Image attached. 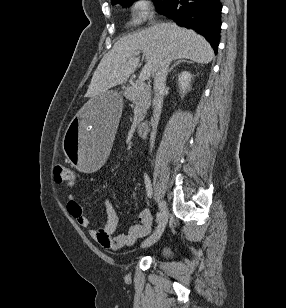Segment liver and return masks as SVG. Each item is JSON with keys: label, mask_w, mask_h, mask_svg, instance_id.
Here are the masks:
<instances>
[{"label": "liver", "mask_w": 286, "mask_h": 308, "mask_svg": "<svg viewBox=\"0 0 286 308\" xmlns=\"http://www.w3.org/2000/svg\"><path fill=\"white\" fill-rule=\"evenodd\" d=\"M136 52H145L152 74L167 54L173 59L185 58L201 64L214 58L213 49L201 35L174 23L154 22L147 29L122 37L104 55L86 93L91 102L112 87L126 83L139 64Z\"/></svg>", "instance_id": "liver-1"}]
</instances>
